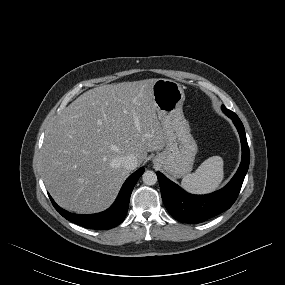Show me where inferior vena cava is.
I'll use <instances>...</instances> for the list:
<instances>
[{
	"instance_id": "inferior-vena-cava-1",
	"label": "inferior vena cava",
	"mask_w": 285,
	"mask_h": 285,
	"mask_svg": "<svg viewBox=\"0 0 285 285\" xmlns=\"http://www.w3.org/2000/svg\"><path fill=\"white\" fill-rule=\"evenodd\" d=\"M123 166L127 169V170H134L137 165H138V161L137 158L134 155H127L123 158Z\"/></svg>"
}]
</instances>
